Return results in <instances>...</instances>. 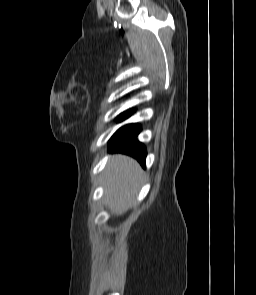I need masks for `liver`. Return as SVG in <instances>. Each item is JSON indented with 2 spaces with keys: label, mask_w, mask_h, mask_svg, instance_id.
I'll list each match as a JSON object with an SVG mask.
<instances>
[{
  "label": "liver",
  "mask_w": 256,
  "mask_h": 295,
  "mask_svg": "<svg viewBox=\"0 0 256 295\" xmlns=\"http://www.w3.org/2000/svg\"><path fill=\"white\" fill-rule=\"evenodd\" d=\"M142 176L143 172L134 159L114 155L105 169L108 208L119 215L126 212L138 192Z\"/></svg>",
  "instance_id": "1"
}]
</instances>
